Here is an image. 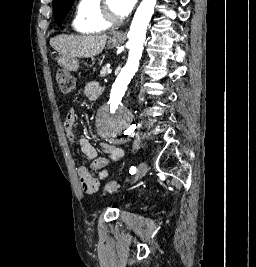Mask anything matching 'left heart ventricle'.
Segmentation results:
<instances>
[{
	"label": "left heart ventricle",
	"instance_id": "obj_1",
	"mask_svg": "<svg viewBox=\"0 0 256 267\" xmlns=\"http://www.w3.org/2000/svg\"><path fill=\"white\" fill-rule=\"evenodd\" d=\"M110 14H111V19H110V25H114L117 20H118V13H117V8H116V4L114 1L110 2Z\"/></svg>",
	"mask_w": 256,
	"mask_h": 267
}]
</instances>
